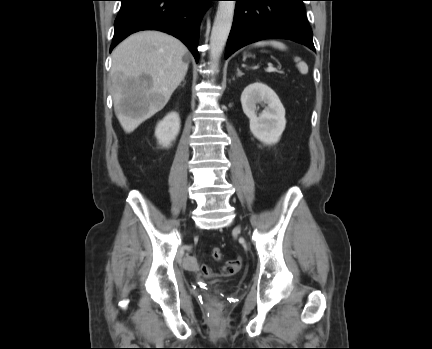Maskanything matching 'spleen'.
<instances>
[{"label": "spleen", "instance_id": "spleen-1", "mask_svg": "<svg viewBox=\"0 0 432 349\" xmlns=\"http://www.w3.org/2000/svg\"><path fill=\"white\" fill-rule=\"evenodd\" d=\"M266 45H271L272 47L278 48L280 50L286 49V46L284 43H282L280 41H276V40L259 41V42H256L254 44V46H256V47H261V46H266ZM294 60H295V62H297V67H298L299 71L302 74H307L308 73L307 64L305 62L301 61V59L299 57H295Z\"/></svg>", "mask_w": 432, "mask_h": 349}]
</instances>
